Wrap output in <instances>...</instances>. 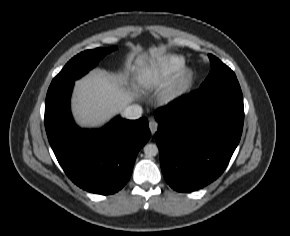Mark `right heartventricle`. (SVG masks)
<instances>
[{"label":"right heart ventricle","mask_w":290,"mask_h":236,"mask_svg":"<svg viewBox=\"0 0 290 236\" xmlns=\"http://www.w3.org/2000/svg\"><path fill=\"white\" fill-rule=\"evenodd\" d=\"M185 64V58L180 55H169L160 60L150 71L147 78V84L155 81H161L171 77L178 72Z\"/></svg>","instance_id":"e07e8e85"}]
</instances>
